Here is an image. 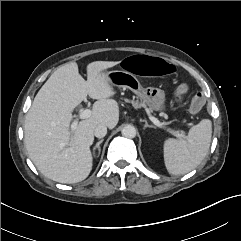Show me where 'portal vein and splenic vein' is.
<instances>
[{
    "instance_id": "1",
    "label": "portal vein and splenic vein",
    "mask_w": 241,
    "mask_h": 241,
    "mask_svg": "<svg viewBox=\"0 0 241 241\" xmlns=\"http://www.w3.org/2000/svg\"><path fill=\"white\" fill-rule=\"evenodd\" d=\"M92 111L90 109H84L79 114V119H87L91 116ZM150 120L159 128H163L172 135H174L177 138L184 137L183 133H180L179 131H174L170 128L165 127L164 123L160 122L157 118L150 116ZM78 120H74L71 124V130L74 131L77 128Z\"/></svg>"
}]
</instances>
